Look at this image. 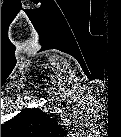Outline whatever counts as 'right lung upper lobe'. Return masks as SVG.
Segmentation results:
<instances>
[{
  "mask_svg": "<svg viewBox=\"0 0 121 137\" xmlns=\"http://www.w3.org/2000/svg\"><path fill=\"white\" fill-rule=\"evenodd\" d=\"M61 126L53 118L38 108L22 111L1 126V133L11 135H51L59 132ZM61 132V131H60Z\"/></svg>",
  "mask_w": 121,
  "mask_h": 137,
  "instance_id": "cb5924a9",
  "label": "right lung upper lobe"
}]
</instances>
